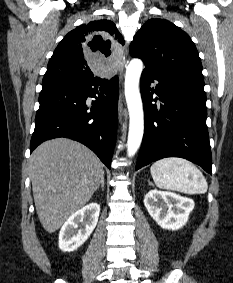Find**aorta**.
Listing matches in <instances>:
<instances>
[{"instance_id": "aorta-1", "label": "aorta", "mask_w": 233, "mask_h": 283, "mask_svg": "<svg viewBox=\"0 0 233 283\" xmlns=\"http://www.w3.org/2000/svg\"><path fill=\"white\" fill-rule=\"evenodd\" d=\"M143 70V62L133 59L126 68L125 98L129 111V132L127 153L129 157L135 155L142 142L144 133L143 105L139 90V80Z\"/></svg>"}]
</instances>
